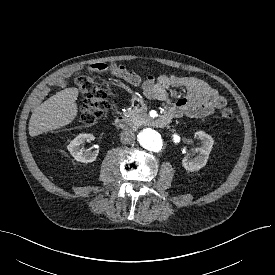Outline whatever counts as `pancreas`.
<instances>
[{"label": "pancreas", "mask_w": 275, "mask_h": 275, "mask_svg": "<svg viewBox=\"0 0 275 275\" xmlns=\"http://www.w3.org/2000/svg\"><path fill=\"white\" fill-rule=\"evenodd\" d=\"M146 110L139 107H134L133 109H128L124 115L130 118L135 124L140 123L142 120L147 118Z\"/></svg>", "instance_id": "pancreas-1"}]
</instances>
